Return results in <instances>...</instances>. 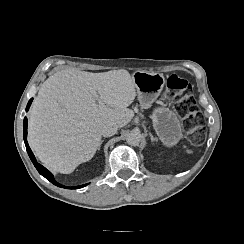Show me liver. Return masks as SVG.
Masks as SVG:
<instances>
[{"mask_svg":"<svg viewBox=\"0 0 244 244\" xmlns=\"http://www.w3.org/2000/svg\"><path fill=\"white\" fill-rule=\"evenodd\" d=\"M99 94L104 106L96 103ZM135 84L124 69L91 73L61 70L41 85L28 122L29 143L49 169L72 173L92 159L101 128L115 122L124 127L134 117L127 108L135 99Z\"/></svg>","mask_w":244,"mask_h":244,"instance_id":"liver-1","label":"liver"}]
</instances>
